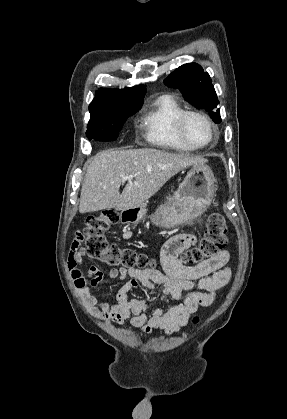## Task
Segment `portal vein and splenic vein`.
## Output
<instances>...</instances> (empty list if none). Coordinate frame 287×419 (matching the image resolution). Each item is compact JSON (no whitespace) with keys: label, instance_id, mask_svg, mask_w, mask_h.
Returning <instances> with one entry per match:
<instances>
[{"label":"portal vein and splenic vein","instance_id":"obj_1","mask_svg":"<svg viewBox=\"0 0 287 419\" xmlns=\"http://www.w3.org/2000/svg\"><path fill=\"white\" fill-rule=\"evenodd\" d=\"M131 180H132V176H131V175H127V176H124V177L122 178V181H123V182H125V181H129V182H131Z\"/></svg>","mask_w":287,"mask_h":419}]
</instances>
